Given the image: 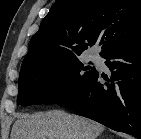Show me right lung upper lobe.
<instances>
[{
	"mask_svg": "<svg viewBox=\"0 0 141 139\" xmlns=\"http://www.w3.org/2000/svg\"><path fill=\"white\" fill-rule=\"evenodd\" d=\"M141 40V0H62L31 40L21 70L78 58L100 41V56Z\"/></svg>",
	"mask_w": 141,
	"mask_h": 139,
	"instance_id": "right-lung-upper-lobe-1",
	"label": "right lung upper lobe"
}]
</instances>
